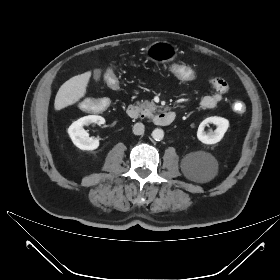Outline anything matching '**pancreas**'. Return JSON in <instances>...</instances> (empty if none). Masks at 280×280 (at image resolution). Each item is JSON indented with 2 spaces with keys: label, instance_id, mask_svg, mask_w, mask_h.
<instances>
[{
  "label": "pancreas",
  "instance_id": "pancreas-1",
  "mask_svg": "<svg viewBox=\"0 0 280 280\" xmlns=\"http://www.w3.org/2000/svg\"><path fill=\"white\" fill-rule=\"evenodd\" d=\"M139 106L142 110V114L144 116H147L148 118L153 117V113L155 112L157 107L154 102H149L147 100L143 101Z\"/></svg>",
  "mask_w": 280,
  "mask_h": 280
}]
</instances>
